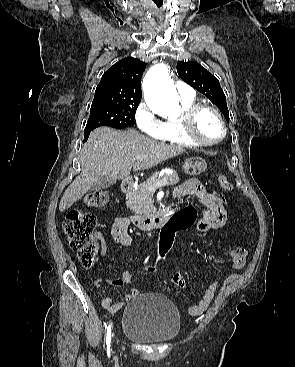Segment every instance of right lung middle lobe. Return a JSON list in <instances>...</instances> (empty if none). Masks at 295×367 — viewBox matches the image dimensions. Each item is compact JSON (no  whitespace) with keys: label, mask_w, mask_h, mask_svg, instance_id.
Segmentation results:
<instances>
[{"label":"right lung middle lobe","mask_w":295,"mask_h":367,"mask_svg":"<svg viewBox=\"0 0 295 367\" xmlns=\"http://www.w3.org/2000/svg\"><path fill=\"white\" fill-rule=\"evenodd\" d=\"M139 102V100L110 96H95L85 127V137L99 126H110L116 129L133 126Z\"/></svg>","instance_id":"obj_1"}]
</instances>
